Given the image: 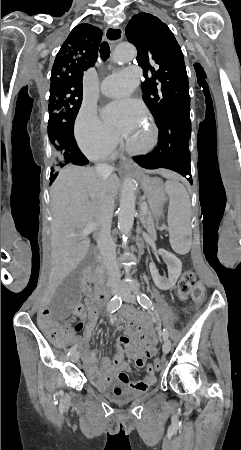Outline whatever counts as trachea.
<instances>
[{
    "instance_id": "trachea-1",
    "label": "trachea",
    "mask_w": 241,
    "mask_h": 450,
    "mask_svg": "<svg viewBox=\"0 0 241 450\" xmlns=\"http://www.w3.org/2000/svg\"><path fill=\"white\" fill-rule=\"evenodd\" d=\"M100 56H101L102 60H107L110 56V47H109V44L107 43V41L101 43Z\"/></svg>"
}]
</instances>
